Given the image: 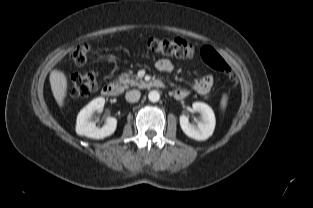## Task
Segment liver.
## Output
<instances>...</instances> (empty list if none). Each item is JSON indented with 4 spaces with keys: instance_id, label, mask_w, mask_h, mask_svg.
Here are the masks:
<instances>
[{
    "instance_id": "6515ba94",
    "label": "liver",
    "mask_w": 313,
    "mask_h": 208,
    "mask_svg": "<svg viewBox=\"0 0 313 208\" xmlns=\"http://www.w3.org/2000/svg\"><path fill=\"white\" fill-rule=\"evenodd\" d=\"M50 85L53 96L60 107L64 106V101L67 96L68 81L66 75L57 69L50 73Z\"/></svg>"
}]
</instances>
